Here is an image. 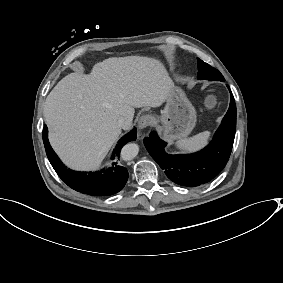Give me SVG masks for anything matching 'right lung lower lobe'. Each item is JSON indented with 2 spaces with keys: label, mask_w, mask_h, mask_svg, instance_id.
Here are the masks:
<instances>
[{
  "label": "right lung lower lobe",
  "mask_w": 283,
  "mask_h": 283,
  "mask_svg": "<svg viewBox=\"0 0 283 283\" xmlns=\"http://www.w3.org/2000/svg\"><path fill=\"white\" fill-rule=\"evenodd\" d=\"M137 129L134 128L123 136L117 144L111 160L112 166L96 172H79L68 169L53 151L48 141V129L44 126L43 142L47 157L58 176L72 189L92 196H109L119 192L128 180V171L117 162L121 148L136 139Z\"/></svg>",
  "instance_id": "right-lung-lower-lobe-1"
}]
</instances>
